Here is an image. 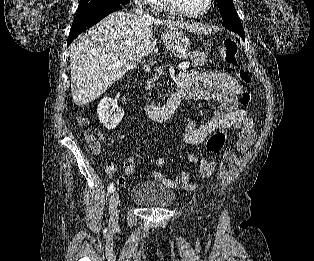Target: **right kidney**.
I'll return each mask as SVG.
<instances>
[{
  "mask_svg": "<svg viewBox=\"0 0 314 261\" xmlns=\"http://www.w3.org/2000/svg\"><path fill=\"white\" fill-rule=\"evenodd\" d=\"M97 113L100 122L108 130L115 129L124 116L123 109L116 107L112 99L108 97H104L100 101Z\"/></svg>",
  "mask_w": 314,
  "mask_h": 261,
  "instance_id": "obj_1",
  "label": "right kidney"
}]
</instances>
